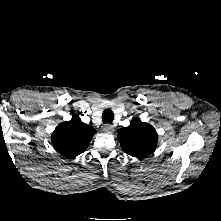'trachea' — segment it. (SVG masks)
Here are the masks:
<instances>
[{
    "mask_svg": "<svg viewBox=\"0 0 221 221\" xmlns=\"http://www.w3.org/2000/svg\"><path fill=\"white\" fill-rule=\"evenodd\" d=\"M113 119H114V113L112 112V110L107 109L103 112V114H102L103 122L112 123Z\"/></svg>",
    "mask_w": 221,
    "mask_h": 221,
    "instance_id": "3493384b",
    "label": "trachea"
}]
</instances>
